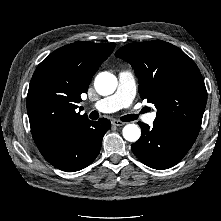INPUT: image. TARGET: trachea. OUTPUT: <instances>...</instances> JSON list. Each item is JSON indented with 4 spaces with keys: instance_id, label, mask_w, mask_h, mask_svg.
Returning <instances> with one entry per match:
<instances>
[{
    "instance_id": "3493384b",
    "label": "trachea",
    "mask_w": 221,
    "mask_h": 221,
    "mask_svg": "<svg viewBox=\"0 0 221 221\" xmlns=\"http://www.w3.org/2000/svg\"><path fill=\"white\" fill-rule=\"evenodd\" d=\"M90 118L96 120L98 118V113L96 111H93L90 114ZM137 118V116L133 115V114H129V115H125L121 117V120L123 122H129V121H133Z\"/></svg>"
}]
</instances>
